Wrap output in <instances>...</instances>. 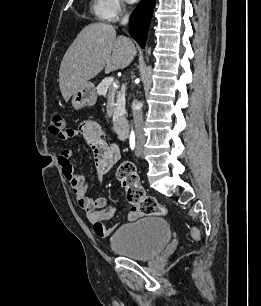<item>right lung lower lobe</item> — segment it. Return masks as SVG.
<instances>
[{"label": "right lung lower lobe", "instance_id": "98d812e1", "mask_svg": "<svg viewBox=\"0 0 261 306\" xmlns=\"http://www.w3.org/2000/svg\"><path fill=\"white\" fill-rule=\"evenodd\" d=\"M155 1L156 0H142L130 16L129 32L142 48L145 46Z\"/></svg>", "mask_w": 261, "mask_h": 306}]
</instances>
